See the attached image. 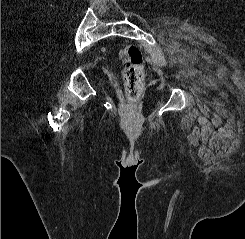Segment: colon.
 Here are the masks:
<instances>
[{"label":"colon","mask_w":245,"mask_h":239,"mask_svg":"<svg viewBox=\"0 0 245 239\" xmlns=\"http://www.w3.org/2000/svg\"><path fill=\"white\" fill-rule=\"evenodd\" d=\"M125 92L129 102H135L144 86L145 62L140 48L134 44L121 51Z\"/></svg>","instance_id":"1"}]
</instances>
